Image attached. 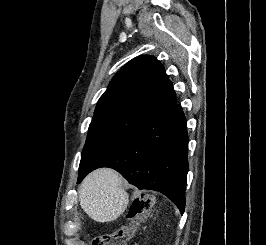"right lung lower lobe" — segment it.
I'll use <instances>...</instances> for the list:
<instances>
[{
  "mask_svg": "<svg viewBox=\"0 0 266 245\" xmlns=\"http://www.w3.org/2000/svg\"><path fill=\"white\" fill-rule=\"evenodd\" d=\"M188 141L185 115L181 106L174 104L143 119L93 161L77 183L96 168L110 167L139 189L161 192L183 213Z\"/></svg>",
  "mask_w": 266,
  "mask_h": 245,
  "instance_id": "98d812e1",
  "label": "right lung lower lobe"
}]
</instances>
